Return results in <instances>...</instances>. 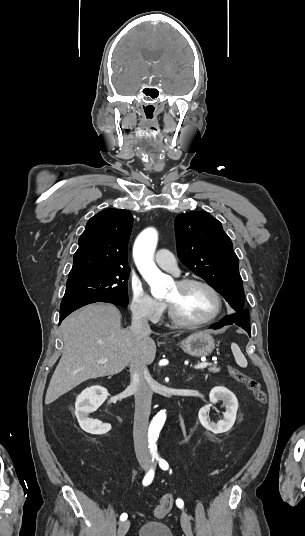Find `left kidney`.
Here are the masks:
<instances>
[{"mask_svg": "<svg viewBox=\"0 0 305 536\" xmlns=\"http://www.w3.org/2000/svg\"><path fill=\"white\" fill-rule=\"evenodd\" d=\"M209 398L211 404H207V406H204V408H201L198 412V418L202 426H204L206 430L213 432V434H223V432H228V430H231L236 420V412L238 410V400L236 396H234L233 392L227 390V388L216 386V388H212ZM218 400L224 402L223 406H225V412L223 420H220L218 424H214V422H208V412H210L212 404H217Z\"/></svg>", "mask_w": 305, "mask_h": 536, "instance_id": "1", "label": "left kidney"}]
</instances>
